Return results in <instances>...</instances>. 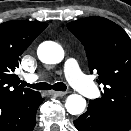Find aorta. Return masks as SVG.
<instances>
[{"label": "aorta", "mask_w": 131, "mask_h": 131, "mask_svg": "<svg viewBox=\"0 0 131 131\" xmlns=\"http://www.w3.org/2000/svg\"><path fill=\"white\" fill-rule=\"evenodd\" d=\"M37 54L40 61L47 64H57L64 57L62 47L51 41L43 42L38 47ZM65 107L69 114L79 115L86 107V100L80 95L72 94L67 97Z\"/></svg>", "instance_id": "1"}]
</instances>
